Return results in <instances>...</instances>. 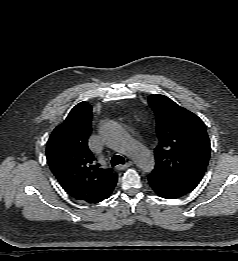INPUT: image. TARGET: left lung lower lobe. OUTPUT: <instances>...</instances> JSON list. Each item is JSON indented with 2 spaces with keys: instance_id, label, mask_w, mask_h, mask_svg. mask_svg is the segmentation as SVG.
<instances>
[{
  "instance_id": "obj_1",
  "label": "left lung lower lobe",
  "mask_w": 238,
  "mask_h": 261,
  "mask_svg": "<svg viewBox=\"0 0 238 261\" xmlns=\"http://www.w3.org/2000/svg\"><path fill=\"white\" fill-rule=\"evenodd\" d=\"M148 183L152 190L163 198L176 199L184 195L151 176H148Z\"/></svg>"
}]
</instances>
